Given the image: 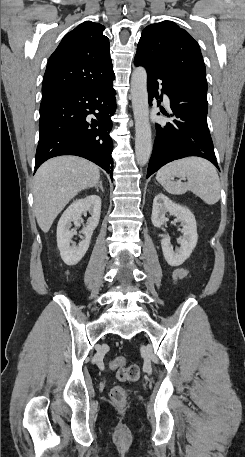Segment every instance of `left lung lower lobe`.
Listing matches in <instances>:
<instances>
[{"instance_id": "0a47b994", "label": "left lung lower lobe", "mask_w": 245, "mask_h": 457, "mask_svg": "<svg viewBox=\"0 0 245 457\" xmlns=\"http://www.w3.org/2000/svg\"><path fill=\"white\" fill-rule=\"evenodd\" d=\"M134 64L147 70L149 104L152 105L153 97L160 98L157 101L160 104L162 96L159 97L158 89L159 85L162 86L161 91L170 99L172 112L170 115L165 110L161 112L173 118L164 126L156 124L157 135L147 178L163 165L189 156L205 158L219 169L207 125V105L183 97V86L164 73L160 66L140 57H135Z\"/></svg>"}]
</instances>
